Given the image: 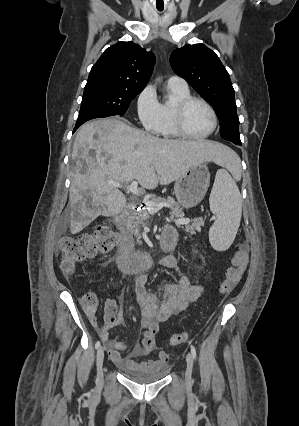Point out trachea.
Here are the masks:
<instances>
[{"instance_id": "obj_1", "label": "trachea", "mask_w": 299, "mask_h": 426, "mask_svg": "<svg viewBox=\"0 0 299 426\" xmlns=\"http://www.w3.org/2000/svg\"><path fill=\"white\" fill-rule=\"evenodd\" d=\"M159 11H162L163 9H158Z\"/></svg>"}]
</instances>
